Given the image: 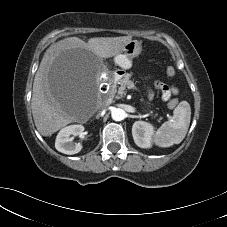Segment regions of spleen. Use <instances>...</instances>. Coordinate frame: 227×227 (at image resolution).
I'll return each instance as SVG.
<instances>
[{
  "label": "spleen",
  "instance_id": "obj_1",
  "mask_svg": "<svg viewBox=\"0 0 227 227\" xmlns=\"http://www.w3.org/2000/svg\"><path fill=\"white\" fill-rule=\"evenodd\" d=\"M191 119V108L187 101H181L173 111V116L156 131L153 138L159 147L179 144L185 138Z\"/></svg>",
  "mask_w": 227,
  "mask_h": 227
}]
</instances>
